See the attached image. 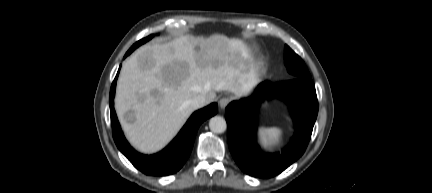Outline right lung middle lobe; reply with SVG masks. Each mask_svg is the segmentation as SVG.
<instances>
[{
    "instance_id": "obj_1",
    "label": "right lung middle lobe",
    "mask_w": 432,
    "mask_h": 193,
    "mask_svg": "<svg viewBox=\"0 0 432 193\" xmlns=\"http://www.w3.org/2000/svg\"><path fill=\"white\" fill-rule=\"evenodd\" d=\"M153 37V35H150V36H148V37H146V38H144V39H142V40H140V41H138V42H136L130 49H129V53H131L134 49H136L138 46H140L141 44H143V43H145V42H147L148 40H150L151 38Z\"/></svg>"
}]
</instances>
